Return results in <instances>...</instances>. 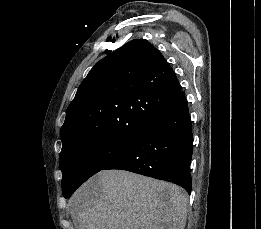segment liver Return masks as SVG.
<instances>
[{"label":"liver","mask_w":261,"mask_h":229,"mask_svg":"<svg viewBox=\"0 0 261 229\" xmlns=\"http://www.w3.org/2000/svg\"><path fill=\"white\" fill-rule=\"evenodd\" d=\"M76 229H184L188 195L128 171H100L69 201Z\"/></svg>","instance_id":"liver-1"}]
</instances>
